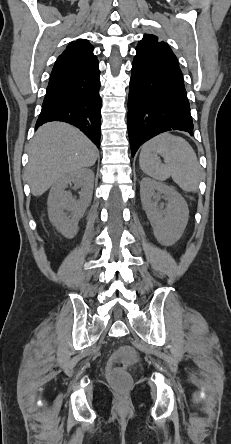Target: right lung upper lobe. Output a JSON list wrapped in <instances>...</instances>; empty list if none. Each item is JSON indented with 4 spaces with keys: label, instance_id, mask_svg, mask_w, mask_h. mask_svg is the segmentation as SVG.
<instances>
[{
    "label": "right lung upper lobe",
    "instance_id": "1",
    "mask_svg": "<svg viewBox=\"0 0 231 444\" xmlns=\"http://www.w3.org/2000/svg\"><path fill=\"white\" fill-rule=\"evenodd\" d=\"M93 49L85 39L71 42L56 60L50 79L82 73L96 67L98 60Z\"/></svg>",
    "mask_w": 231,
    "mask_h": 444
}]
</instances>
